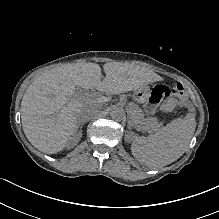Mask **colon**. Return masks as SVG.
I'll list each match as a JSON object with an SVG mask.
<instances>
[{"label": "colon", "instance_id": "colon-1", "mask_svg": "<svg viewBox=\"0 0 219 219\" xmlns=\"http://www.w3.org/2000/svg\"><path fill=\"white\" fill-rule=\"evenodd\" d=\"M171 94L178 99H180L182 102H187L188 96L186 93L185 88L180 84H176L172 89H171ZM176 107V103L173 99H167L164 101L162 104V110L164 112H172Z\"/></svg>", "mask_w": 219, "mask_h": 219}]
</instances>
